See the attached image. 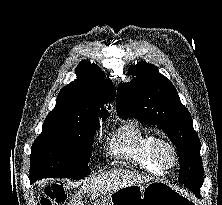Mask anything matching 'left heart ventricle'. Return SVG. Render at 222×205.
I'll list each match as a JSON object with an SVG mask.
<instances>
[{
	"instance_id": "b2bd125f",
	"label": "left heart ventricle",
	"mask_w": 222,
	"mask_h": 205,
	"mask_svg": "<svg viewBox=\"0 0 222 205\" xmlns=\"http://www.w3.org/2000/svg\"><path fill=\"white\" fill-rule=\"evenodd\" d=\"M162 156L166 161H170V159H171V153L168 149L162 150Z\"/></svg>"
}]
</instances>
